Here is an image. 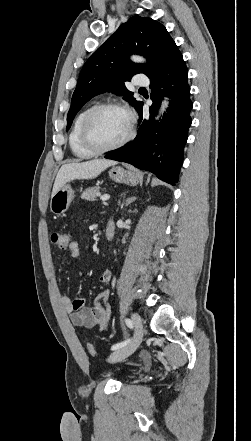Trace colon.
<instances>
[{
    "label": "colon",
    "mask_w": 251,
    "mask_h": 441,
    "mask_svg": "<svg viewBox=\"0 0 251 441\" xmlns=\"http://www.w3.org/2000/svg\"><path fill=\"white\" fill-rule=\"evenodd\" d=\"M50 241L54 246L60 249H66L70 244V236L67 232L55 230L50 234ZM87 350L92 356H95L97 353L95 346L91 343L87 344Z\"/></svg>",
    "instance_id": "obj_1"
}]
</instances>
